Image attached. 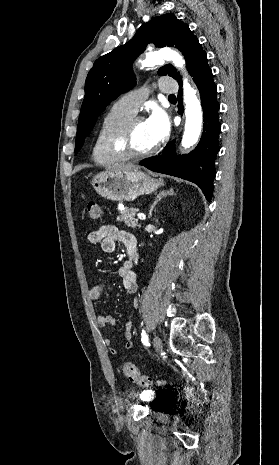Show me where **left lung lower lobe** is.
Listing matches in <instances>:
<instances>
[{
  "label": "left lung lower lobe",
  "mask_w": 279,
  "mask_h": 465,
  "mask_svg": "<svg viewBox=\"0 0 279 465\" xmlns=\"http://www.w3.org/2000/svg\"><path fill=\"white\" fill-rule=\"evenodd\" d=\"M190 74L199 89L204 112L203 134L198 146L188 155H176L174 140L167 144L160 156L144 160L141 165L154 172L180 177L197 184L210 201L216 176L215 159L220 149L218 137L221 126L218 120L220 106L217 102V87L206 53L201 55ZM179 86L182 87V81ZM179 94H182L181 90ZM181 111L180 107V114Z\"/></svg>",
  "instance_id": "left-lung-lower-lobe-1"
}]
</instances>
